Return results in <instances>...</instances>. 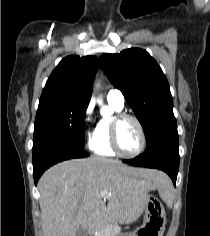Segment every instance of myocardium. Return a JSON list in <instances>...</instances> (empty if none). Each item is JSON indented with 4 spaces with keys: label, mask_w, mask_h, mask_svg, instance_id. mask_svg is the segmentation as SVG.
<instances>
[{
    "label": "myocardium",
    "mask_w": 210,
    "mask_h": 236,
    "mask_svg": "<svg viewBox=\"0 0 210 236\" xmlns=\"http://www.w3.org/2000/svg\"><path fill=\"white\" fill-rule=\"evenodd\" d=\"M125 119H131L137 124L139 132H140V137H141V142H140L139 148L137 149V151H135L134 153H130V154L124 153L121 150L120 145H119V140H118L119 125ZM110 142H111V146H112V149L114 150V152L123 158H135V157L139 156L143 152V150L146 146V133H145L142 122L139 120L138 117H136L133 114L125 113V112L116 113L112 117V120H111Z\"/></svg>",
    "instance_id": "obj_1"
}]
</instances>
